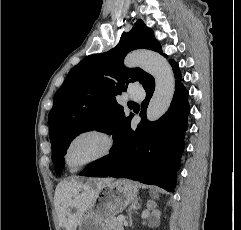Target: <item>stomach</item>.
Segmentation results:
<instances>
[{
  "label": "stomach",
  "instance_id": "1",
  "mask_svg": "<svg viewBox=\"0 0 241 230\" xmlns=\"http://www.w3.org/2000/svg\"><path fill=\"white\" fill-rule=\"evenodd\" d=\"M137 193L138 188L128 180L103 183L95 201L84 213L78 230H108L107 222L121 213Z\"/></svg>",
  "mask_w": 241,
  "mask_h": 230
}]
</instances>
